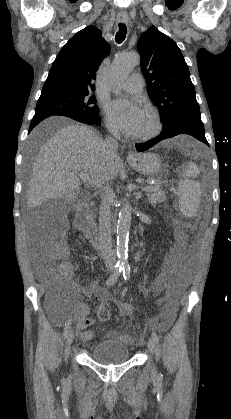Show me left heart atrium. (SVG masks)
Here are the masks:
<instances>
[{"label":"left heart atrium","mask_w":231,"mask_h":419,"mask_svg":"<svg viewBox=\"0 0 231 419\" xmlns=\"http://www.w3.org/2000/svg\"><path fill=\"white\" fill-rule=\"evenodd\" d=\"M111 117L117 125L131 134H137L144 117V109L137 103L127 105L123 101H115L109 107Z\"/></svg>","instance_id":"1"}]
</instances>
